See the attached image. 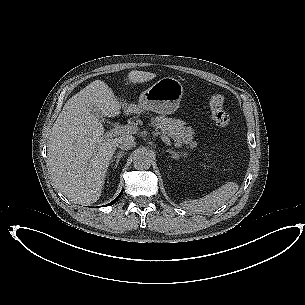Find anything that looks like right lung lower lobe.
<instances>
[{"mask_svg": "<svg viewBox=\"0 0 305 305\" xmlns=\"http://www.w3.org/2000/svg\"><path fill=\"white\" fill-rule=\"evenodd\" d=\"M122 192H123V191H121V193L118 195V197H117L115 200H113L112 202H110V203L107 204L106 206H110V205L114 204V203L119 199V197L121 196Z\"/></svg>", "mask_w": 305, "mask_h": 305, "instance_id": "1", "label": "right lung lower lobe"}]
</instances>
